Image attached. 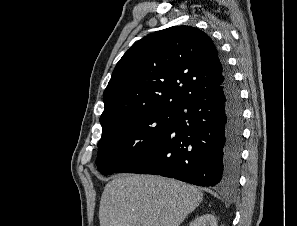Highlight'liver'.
<instances>
[{
	"label": "liver",
	"mask_w": 297,
	"mask_h": 226,
	"mask_svg": "<svg viewBox=\"0 0 297 226\" xmlns=\"http://www.w3.org/2000/svg\"><path fill=\"white\" fill-rule=\"evenodd\" d=\"M203 200L200 189L156 175H121L102 193L100 226H179Z\"/></svg>",
	"instance_id": "liver-1"
}]
</instances>
